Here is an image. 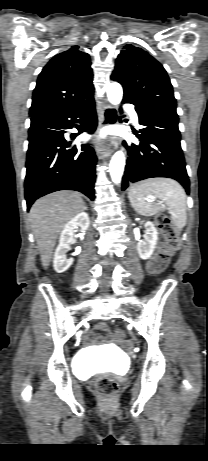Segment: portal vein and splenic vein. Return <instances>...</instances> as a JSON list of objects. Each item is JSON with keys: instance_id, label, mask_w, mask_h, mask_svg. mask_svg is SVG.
Listing matches in <instances>:
<instances>
[{"instance_id": "1", "label": "portal vein and splenic vein", "mask_w": 208, "mask_h": 461, "mask_svg": "<svg viewBox=\"0 0 208 461\" xmlns=\"http://www.w3.org/2000/svg\"><path fill=\"white\" fill-rule=\"evenodd\" d=\"M156 199L154 197H150V199L148 200L149 202H153L155 201Z\"/></svg>"}]
</instances>
